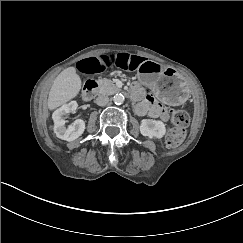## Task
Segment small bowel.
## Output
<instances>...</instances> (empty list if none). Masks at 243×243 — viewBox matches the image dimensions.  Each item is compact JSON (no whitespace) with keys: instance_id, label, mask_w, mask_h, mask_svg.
<instances>
[{"instance_id":"1","label":"small bowel","mask_w":243,"mask_h":243,"mask_svg":"<svg viewBox=\"0 0 243 243\" xmlns=\"http://www.w3.org/2000/svg\"><path fill=\"white\" fill-rule=\"evenodd\" d=\"M144 61L143 57L129 53H106L98 54L78 63V68L84 73H98L110 68H120L124 70H135ZM135 91L143 97V100L136 106L139 115L149 114L153 118L162 120L168 119V111L165 106L159 103L149 94H144L143 90L136 85Z\"/></svg>"}]
</instances>
